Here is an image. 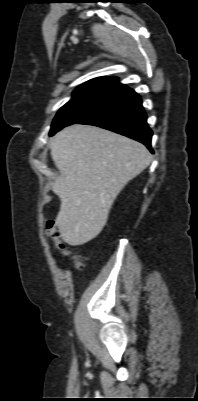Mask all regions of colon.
Returning <instances> with one entry per match:
<instances>
[{"mask_svg":"<svg viewBox=\"0 0 198 401\" xmlns=\"http://www.w3.org/2000/svg\"><path fill=\"white\" fill-rule=\"evenodd\" d=\"M47 235L54 241L56 248L65 255H69V250L66 248L64 243L59 239V232L54 221H48L47 223ZM75 265L77 268H81V263L78 259H75Z\"/></svg>","mask_w":198,"mask_h":401,"instance_id":"5ec220e1","label":"colon"}]
</instances>
